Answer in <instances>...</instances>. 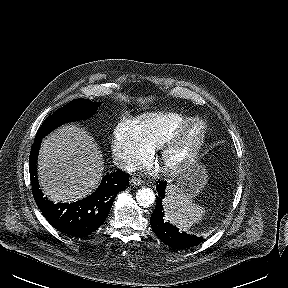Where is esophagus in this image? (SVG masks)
Masks as SVG:
<instances>
[{
	"mask_svg": "<svg viewBox=\"0 0 288 288\" xmlns=\"http://www.w3.org/2000/svg\"><path fill=\"white\" fill-rule=\"evenodd\" d=\"M142 184V180L141 179H138V178H132L130 180V185L131 186H139Z\"/></svg>",
	"mask_w": 288,
	"mask_h": 288,
	"instance_id": "1",
	"label": "esophagus"
}]
</instances>
